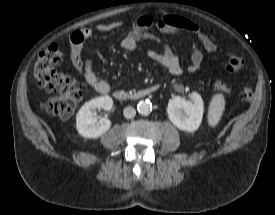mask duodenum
<instances>
[{"instance_id":"1","label":"duodenum","mask_w":275,"mask_h":215,"mask_svg":"<svg viewBox=\"0 0 275 215\" xmlns=\"http://www.w3.org/2000/svg\"><path fill=\"white\" fill-rule=\"evenodd\" d=\"M160 87V84H155L134 92L116 90L113 93V97L118 101H135L156 93Z\"/></svg>"}]
</instances>
